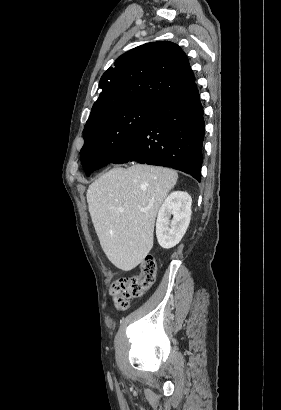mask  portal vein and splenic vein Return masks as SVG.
Masks as SVG:
<instances>
[{"label": "portal vein and splenic vein", "mask_w": 281, "mask_h": 410, "mask_svg": "<svg viewBox=\"0 0 281 410\" xmlns=\"http://www.w3.org/2000/svg\"><path fill=\"white\" fill-rule=\"evenodd\" d=\"M145 209H143V208H140V211H144ZM121 211H124L123 209H121Z\"/></svg>", "instance_id": "obj_1"}]
</instances>
